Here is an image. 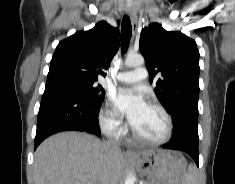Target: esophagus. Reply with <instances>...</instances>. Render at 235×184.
Listing matches in <instances>:
<instances>
[{"mask_svg":"<svg viewBox=\"0 0 235 184\" xmlns=\"http://www.w3.org/2000/svg\"><path fill=\"white\" fill-rule=\"evenodd\" d=\"M129 14L131 18L132 34L133 37H135L137 33L138 18L136 12L132 8H129ZM125 156H135V152L132 151L131 149H126Z\"/></svg>","mask_w":235,"mask_h":184,"instance_id":"esophagus-1","label":"esophagus"}]
</instances>
